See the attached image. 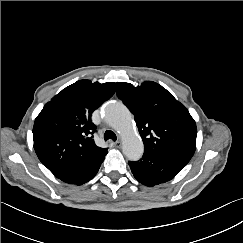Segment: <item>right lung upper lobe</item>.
Instances as JSON below:
<instances>
[{"mask_svg": "<svg viewBox=\"0 0 243 243\" xmlns=\"http://www.w3.org/2000/svg\"><path fill=\"white\" fill-rule=\"evenodd\" d=\"M115 88L112 82L79 80L43 107L34 122V149L52 173L107 154V148L96 146L93 140L96 126L91 115L113 96Z\"/></svg>", "mask_w": 243, "mask_h": 243, "instance_id": "cb5924a9", "label": "right lung upper lobe"}]
</instances>
